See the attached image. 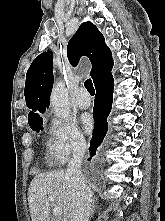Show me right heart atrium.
<instances>
[{"instance_id":"obj_1","label":"right heart atrium","mask_w":165,"mask_h":221,"mask_svg":"<svg viewBox=\"0 0 165 221\" xmlns=\"http://www.w3.org/2000/svg\"><path fill=\"white\" fill-rule=\"evenodd\" d=\"M87 146L79 128L72 122L55 118L48 129V157L55 163H65Z\"/></svg>"}]
</instances>
